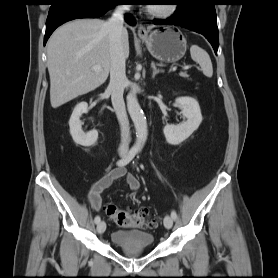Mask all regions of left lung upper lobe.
<instances>
[{"label":"left lung upper lobe","mask_w":278,"mask_h":278,"mask_svg":"<svg viewBox=\"0 0 278 278\" xmlns=\"http://www.w3.org/2000/svg\"><path fill=\"white\" fill-rule=\"evenodd\" d=\"M183 1H185V0H175L176 4H180V3H182Z\"/></svg>","instance_id":"left-lung-upper-lobe-1"}]
</instances>
